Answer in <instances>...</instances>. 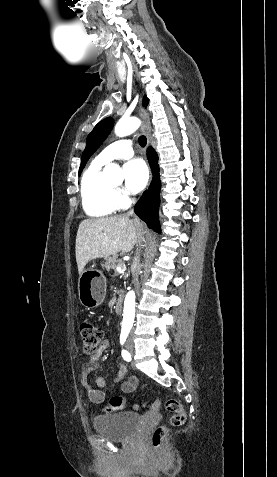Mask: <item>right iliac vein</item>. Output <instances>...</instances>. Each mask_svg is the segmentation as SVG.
Instances as JSON below:
<instances>
[{
  "instance_id": "1",
  "label": "right iliac vein",
  "mask_w": 277,
  "mask_h": 477,
  "mask_svg": "<svg viewBox=\"0 0 277 477\" xmlns=\"http://www.w3.org/2000/svg\"><path fill=\"white\" fill-rule=\"evenodd\" d=\"M127 348H128L129 350H131V351L133 350V346H132L131 344H128V345H127Z\"/></svg>"
}]
</instances>
